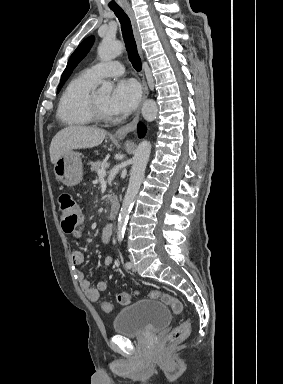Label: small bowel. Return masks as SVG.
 <instances>
[{
    "instance_id": "obj_1",
    "label": "small bowel",
    "mask_w": 283,
    "mask_h": 384,
    "mask_svg": "<svg viewBox=\"0 0 283 384\" xmlns=\"http://www.w3.org/2000/svg\"><path fill=\"white\" fill-rule=\"evenodd\" d=\"M84 228V224H81L77 230L73 232V236L80 237L82 230ZM113 233V226L111 224H107L102 230V242L108 243ZM85 261L84 253L75 250L71 254V262L75 267L81 266ZM113 263V258L109 255L104 258L105 267H110ZM76 278L79 284L81 291L84 295L92 302L98 301L100 297V293L105 291L108 287L107 281H100L95 287H92L89 280L85 277V274L82 270H76Z\"/></svg>"
}]
</instances>
